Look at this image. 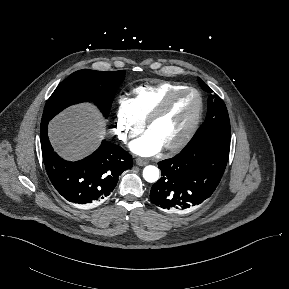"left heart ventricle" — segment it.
<instances>
[{
  "label": "left heart ventricle",
  "mask_w": 289,
  "mask_h": 289,
  "mask_svg": "<svg viewBox=\"0 0 289 289\" xmlns=\"http://www.w3.org/2000/svg\"><path fill=\"white\" fill-rule=\"evenodd\" d=\"M198 100L195 94L186 92L178 96L168 110L149 129L162 146L182 137L196 112Z\"/></svg>",
  "instance_id": "left-heart-ventricle-1"
}]
</instances>
